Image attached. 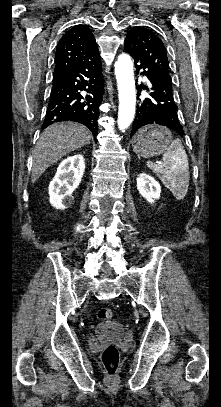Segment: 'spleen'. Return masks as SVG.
<instances>
[{
  "label": "spleen",
  "instance_id": "3e777b00",
  "mask_svg": "<svg viewBox=\"0 0 221 407\" xmlns=\"http://www.w3.org/2000/svg\"><path fill=\"white\" fill-rule=\"evenodd\" d=\"M150 168L177 200H182L189 186V163L180 139H175L163 154V164L147 161Z\"/></svg>",
  "mask_w": 221,
  "mask_h": 407
}]
</instances>
